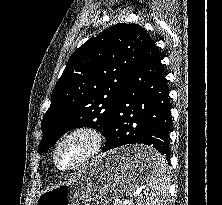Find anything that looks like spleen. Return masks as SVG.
Masks as SVG:
<instances>
[{
  "mask_svg": "<svg viewBox=\"0 0 222 205\" xmlns=\"http://www.w3.org/2000/svg\"><path fill=\"white\" fill-rule=\"evenodd\" d=\"M148 167L146 189L144 194L138 197L137 205H166L168 193L167 161L157 153L148 158Z\"/></svg>",
  "mask_w": 222,
  "mask_h": 205,
  "instance_id": "obj_1",
  "label": "spleen"
}]
</instances>
